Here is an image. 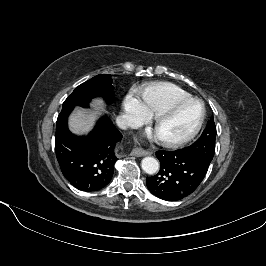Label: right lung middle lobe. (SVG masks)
Instances as JSON below:
<instances>
[{"label":"right lung middle lobe","mask_w":266,"mask_h":266,"mask_svg":"<svg viewBox=\"0 0 266 266\" xmlns=\"http://www.w3.org/2000/svg\"><path fill=\"white\" fill-rule=\"evenodd\" d=\"M113 89L110 75H97L76 87L73 93L64 101L63 108H73L76 105L87 108L91 99L96 96L103 97L109 104L115 99Z\"/></svg>","instance_id":"dd1d6c3e"}]
</instances>
